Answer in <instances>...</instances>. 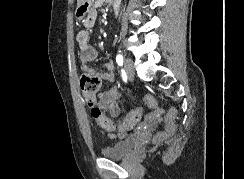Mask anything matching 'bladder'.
<instances>
[{"label":"bladder","instance_id":"bladder-1","mask_svg":"<svg viewBox=\"0 0 244 179\" xmlns=\"http://www.w3.org/2000/svg\"><path fill=\"white\" fill-rule=\"evenodd\" d=\"M134 139L126 138L120 142H116L110 147H105L101 150L102 155L108 159H119L129 155L133 149Z\"/></svg>","mask_w":244,"mask_h":179}]
</instances>
